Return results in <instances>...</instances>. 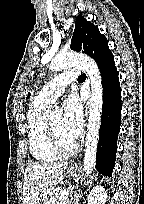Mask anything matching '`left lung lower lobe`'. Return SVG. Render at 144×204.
Here are the masks:
<instances>
[{"instance_id":"obj_1","label":"left lung lower lobe","mask_w":144,"mask_h":204,"mask_svg":"<svg viewBox=\"0 0 144 204\" xmlns=\"http://www.w3.org/2000/svg\"><path fill=\"white\" fill-rule=\"evenodd\" d=\"M104 102L96 155L97 170L111 177L115 166L117 138L121 124V88L114 57H109L99 65Z\"/></svg>"}]
</instances>
